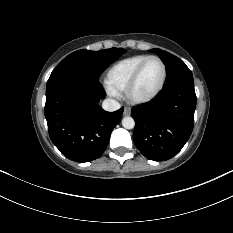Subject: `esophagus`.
<instances>
[{
    "label": "esophagus",
    "mask_w": 233,
    "mask_h": 233,
    "mask_svg": "<svg viewBox=\"0 0 233 233\" xmlns=\"http://www.w3.org/2000/svg\"><path fill=\"white\" fill-rule=\"evenodd\" d=\"M130 113H131L130 108H129V107H125V108H124L123 115H124V116H128V115H130Z\"/></svg>",
    "instance_id": "1"
}]
</instances>
